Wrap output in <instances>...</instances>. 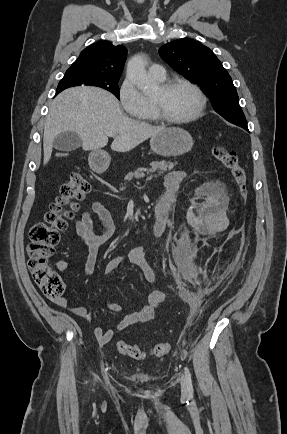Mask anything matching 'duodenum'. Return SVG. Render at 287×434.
<instances>
[{"label":"duodenum","instance_id":"duodenum-1","mask_svg":"<svg viewBox=\"0 0 287 434\" xmlns=\"http://www.w3.org/2000/svg\"><path fill=\"white\" fill-rule=\"evenodd\" d=\"M93 165L97 168V169H102L105 166H107L108 164V160L104 157H100V156H95L92 159ZM162 204L159 205L158 209L156 210V215L158 218H161L163 215V211H162ZM157 222V220L154 221V226L155 223Z\"/></svg>","mask_w":287,"mask_h":434}]
</instances>
